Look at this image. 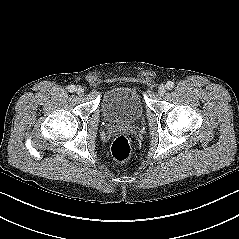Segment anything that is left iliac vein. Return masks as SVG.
<instances>
[{"instance_id":"1","label":"left iliac vein","mask_w":239,"mask_h":239,"mask_svg":"<svg viewBox=\"0 0 239 239\" xmlns=\"http://www.w3.org/2000/svg\"><path fill=\"white\" fill-rule=\"evenodd\" d=\"M166 92V86L165 85H160L158 88V93L160 95H164V93Z\"/></svg>"}]
</instances>
